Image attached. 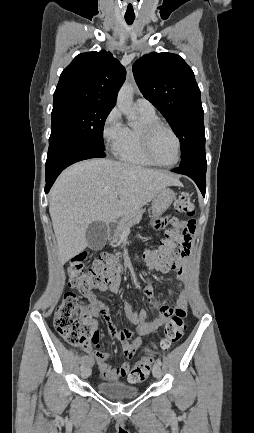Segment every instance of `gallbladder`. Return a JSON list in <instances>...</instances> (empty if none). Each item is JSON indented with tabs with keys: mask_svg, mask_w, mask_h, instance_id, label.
Segmentation results:
<instances>
[{
	"mask_svg": "<svg viewBox=\"0 0 254 433\" xmlns=\"http://www.w3.org/2000/svg\"><path fill=\"white\" fill-rule=\"evenodd\" d=\"M108 238L107 225L102 221H94L86 229L88 247L92 250L102 249Z\"/></svg>",
	"mask_w": 254,
	"mask_h": 433,
	"instance_id": "bac80fb5",
	"label": "gallbladder"
}]
</instances>
